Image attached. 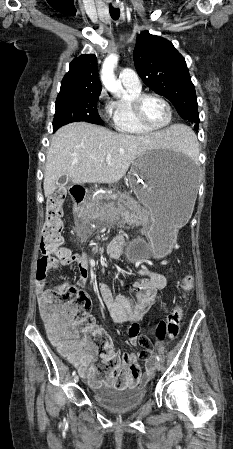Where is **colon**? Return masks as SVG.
<instances>
[{
	"label": "colon",
	"instance_id": "5ec220e1",
	"mask_svg": "<svg viewBox=\"0 0 233 449\" xmlns=\"http://www.w3.org/2000/svg\"><path fill=\"white\" fill-rule=\"evenodd\" d=\"M64 199L63 193H55L47 200L46 220L41 240L42 257L38 261V274L45 271L54 258L68 255V250L61 248ZM193 284V276L185 275L181 282L183 292L185 294L191 292ZM90 306L89 297L73 286L45 292L41 299L40 310L54 345L68 351V342H75L82 350H86L96 348L108 340L94 325L92 317L88 314ZM182 312V307L176 305L168 314L166 321L158 324L153 337L158 340L176 339L180 333ZM138 344L141 349L137 357H148L151 354V339L141 335L138 337ZM135 359V356H127L121 360L119 367L121 371L136 375L138 378L140 368L135 363ZM114 385L117 388H123L125 383L120 378H116Z\"/></svg>",
	"mask_w": 233,
	"mask_h": 449
}]
</instances>
